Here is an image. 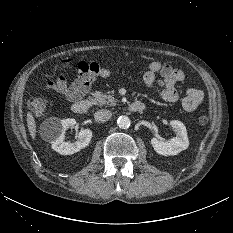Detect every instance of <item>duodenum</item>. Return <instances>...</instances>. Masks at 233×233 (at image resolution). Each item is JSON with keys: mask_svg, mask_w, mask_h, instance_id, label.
<instances>
[{"mask_svg": "<svg viewBox=\"0 0 233 233\" xmlns=\"http://www.w3.org/2000/svg\"><path fill=\"white\" fill-rule=\"evenodd\" d=\"M90 104V99H78L72 104V111L77 115L85 114L88 111ZM128 109L134 113H142L146 110V106L140 101H133L128 105Z\"/></svg>", "mask_w": 233, "mask_h": 233, "instance_id": "duodenum-1", "label": "duodenum"}]
</instances>
